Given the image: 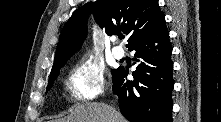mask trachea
<instances>
[{
	"instance_id": "obj_1",
	"label": "trachea",
	"mask_w": 221,
	"mask_h": 122,
	"mask_svg": "<svg viewBox=\"0 0 221 122\" xmlns=\"http://www.w3.org/2000/svg\"><path fill=\"white\" fill-rule=\"evenodd\" d=\"M124 38V36H119V39H123Z\"/></svg>"
}]
</instances>
